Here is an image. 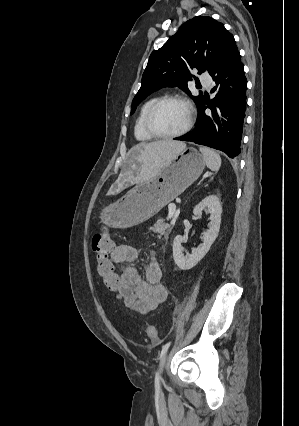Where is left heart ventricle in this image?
<instances>
[{"instance_id":"b2bd125f","label":"left heart ventricle","mask_w":299,"mask_h":426,"mask_svg":"<svg viewBox=\"0 0 299 426\" xmlns=\"http://www.w3.org/2000/svg\"><path fill=\"white\" fill-rule=\"evenodd\" d=\"M187 117V108L182 103L167 102L156 110L152 125L160 133H175L185 126Z\"/></svg>"}]
</instances>
